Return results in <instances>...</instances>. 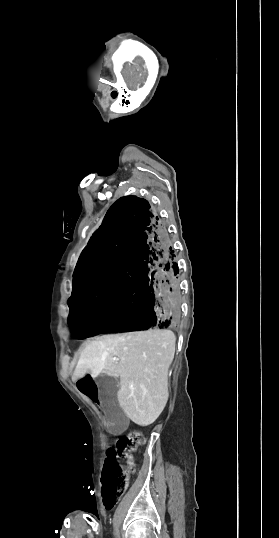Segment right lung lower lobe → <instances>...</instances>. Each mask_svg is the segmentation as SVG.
Returning <instances> with one entry per match:
<instances>
[{
    "label": "right lung lower lobe",
    "mask_w": 279,
    "mask_h": 538,
    "mask_svg": "<svg viewBox=\"0 0 279 538\" xmlns=\"http://www.w3.org/2000/svg\"><path fill=\"white\" fill-rule=\"evenodd\" d=\"M171 239L137 196L117 200L80 255L68 325L82 338L146 329L174 331L180 283Z\"/></svg>",
    "instance_id": "obj_1"
}]
</instances>
